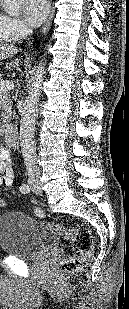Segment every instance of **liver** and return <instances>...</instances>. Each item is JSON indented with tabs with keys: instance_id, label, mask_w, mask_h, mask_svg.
<instances>
[{
	"instance_id": "obj_1",
	"label": "liver",
	"mask_w": 129,
	"mask_h": 309,
	"mask_svg": "<svg viewBox=\"0 0 129 309\" xmlns=\"http://www.w3.org/2000/svg\"><path fill=\"white\" fill-rule=\"evenodd\" d=\"M19 52V49L11 44L0 42V60H5L13 57Z\"/></svg>"
}]
</instances>
